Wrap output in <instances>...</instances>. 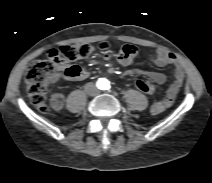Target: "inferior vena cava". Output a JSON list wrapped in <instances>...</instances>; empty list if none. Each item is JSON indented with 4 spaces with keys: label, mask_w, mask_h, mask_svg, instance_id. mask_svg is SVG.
Segmentation results:
<instances>
[{
    "label": "inferior vena cava",
    "mask_w": 212,
    "mask_h": 183,
    "mask_svg": "<svg viewBox=\"0 0 212 183\" xmlns=\"http://www.w3.org/2000/svg\"><path fill=\"white\" fill-rule=\"evenodd\" d=\"M86 92L90 96H96L100 93L99 89L94 83H87L85 86Z\"/></svg>",
    "instance_id": "602c4592"
}]
</instances>
